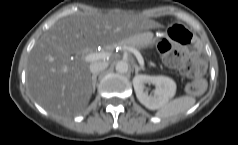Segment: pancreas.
<instances>
[{"mask_svg":"<svg viewBox=\"0 0 238 145\" xmlns=\"http://www.w3.org/2000/svg\"><path fill=\"white\" fill-rule=\"evenodd\" d=\"M120 45L125 47H133L137 50H143L145 48V44L141 41L139 37H133L132 39L120 43ZM114 47L115 45L111 46L109 48V51H112Z\"/></svg>","mask_w":238,"mask_h":145,"instance_id":"obj_1","label":"pancreas"}]
</instances>
